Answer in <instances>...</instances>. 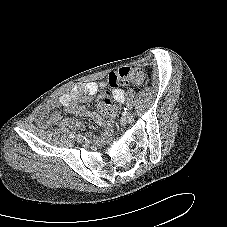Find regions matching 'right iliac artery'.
Instances as JSON below:
<instances>
[{
  "label": "right iliac artery",
  "instance_id": "82829eb1",
  "mask_svg": "<svg viewBox=\"0 0 227 227\" xmlns=\"http://www.w3.org/2000/svg\"><path fill=\"white\" fill-rule=\"evenodd\" d=\"M70 137H71V138H75V134H74V133H71V134H70Z\"/></svg>",
  "mask_w": 227,
  "mask_h": 227
}]
</instances>
